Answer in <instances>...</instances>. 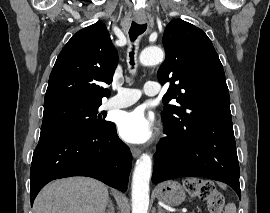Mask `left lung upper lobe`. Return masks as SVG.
<instances>
[{
    "label": "left lung upper lobe",
    "instance_id": "obj_1",
    "mask_svg": "<svg viewBox=\"0 0 270 213\" xmlns=\"http://www.w3.org/2000/svg\"><path fill=\"white\" fill-rule=\"evenodd\" d=\"M163 45L166 59L157 77L161 84L170 81L163 97L166 128L179 136L196 127L233 130L223 66L205 32L174 19L165 29ZM173 99L177 105H167Z\"/></svg>",
    "mask_w": 270,
    "mask_h": 213
}]
</instances>
